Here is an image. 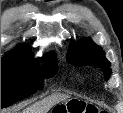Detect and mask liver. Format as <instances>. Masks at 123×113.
Instances as JSON below:
<instances>
[{
    "instance_id": "liver-1",
    "label": "liver",
    "mask_w": 123,
    "mask_h": 113,
    "mask_svg": "<svg viewBox=\"0 0 123 113\" xmlns=\"http://www.w3.org/2000/svg\"><path fill=\"white\" fill-rule=\"evenodd\" d=\"M62 99H64L63 97H51L43 102H41L39 105H37V107L35 109H28L25 110L24 113H45L46 111H48V109H50V107H52V105L59 103ZM37 111V112H35ZM45 111V112H43Z\"/></svg>"
}]
</instances>
